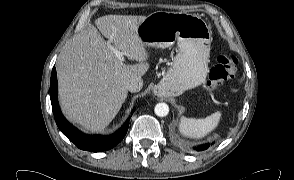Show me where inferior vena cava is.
I'll return each instance as SVG.
<instances>
[{
  "mask_svg": "<svg viewBox=\"0 0 294 180\" xmlns=\"http://www.w3.org/2000/svg\"><path fill=\"white\" fill-rule=\"evenodd\" d=\"M142 87L143 80L140 77L132 78L126 84V88L130 92H139Z\"/></svg>",
  "mask_w": 294,
  "mask_h": 180,
  "instance_id": "obj_1",
  "label": "inferior vena cava"
}]
</instances>
